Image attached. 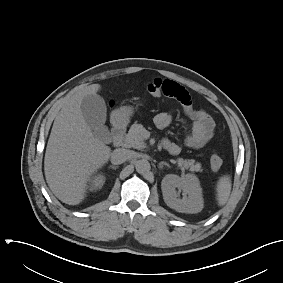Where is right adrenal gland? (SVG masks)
Returning <instances> with one entry per match:
<instances>
[{
	"instance_id": "2a0ac1e0",
	"label": "right adrenal gland",
	"mask_w": 283,
	"mask_h": 283,
	"mask_svg": "<svg viewBox=\"0 0 283 283\" xmlns=\"http://www.w3.org/2000/svg\"><path fill=\"white\" fill-rule=\"evenodd\" d=\"M109 168L116 170L118 168V166L110 165Z\"/></svg>"
}]
</instances>
